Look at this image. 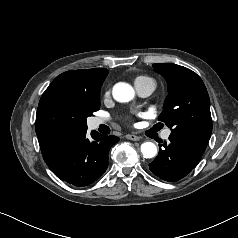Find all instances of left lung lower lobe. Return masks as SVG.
Here are the masks:
<instances>
[{"instance_id": "1", "label": "left lung lower lobe", "mask_w": 238, "mask_h": 238, "mask_svg": "<svg viewBox=\"0 0 238 238\" xmlns=\"http://www.w3.org/2000/svg\"><path fill=\"white\" fill-rule=\"evenodd\" d=\"M207 144L206 140L172 132L169 141L159 145V154L149 168L165 181H178L197 166Z\"/></svg>"}]
</instances>
